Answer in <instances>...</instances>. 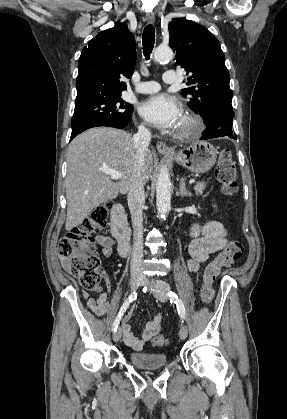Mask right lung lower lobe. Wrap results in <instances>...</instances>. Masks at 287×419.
<instances>
[{
    "instance_id": "1",
    "label": "right lung lower lobe",
    "mask_w": 287,
    "mask_h": 419,
    "mask_svg": "<svg viewBox=\"0 0 287 419\" xmlns=\"http://www.w3.org/2000/svg\"><path fill=\"white\" fill-rule=\"evenodd\" d=\"M130 123V122H129ZM129 123H117V122H110V121H99V122H94V123H91V124H88V125H86V126H84V127H82L80 130H78L77 132H75V133H72L71 134V137H70V141L76 136V135H78V134H80L81 132H83V131H85V130H87V129H89V128H92V127H98V126H107V127H114V128H119V129H123V128H125V127H127L128 125H129Z\"/></svg>"
}]
</instances>
